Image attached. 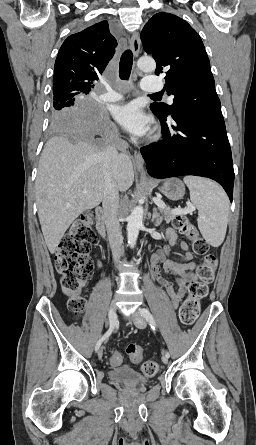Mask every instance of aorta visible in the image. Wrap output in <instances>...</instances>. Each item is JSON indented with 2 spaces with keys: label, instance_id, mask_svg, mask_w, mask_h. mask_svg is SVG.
I'll return each mask as SVG.
<instances>
[{
  "label": "aorta",
  "instance_id": "obj_1",
  "mask_svg": "<svg viewBox=\"0 0 256 445\" xmlns=\"http://www.w3.org/2000/svg\"><path fill=\"white\" fill-rule=\"evenodd\" d=\"M137 67L144 72H153L156 68V62L151 57H141L137 61ZM144 209L143 206H136L129 218L127 224V238L128 244L133 248L136 244L140 227L143 222Z\"/></svg>",
  "mask_w": 256,
  "mask_h": 445
}]
</instances>
